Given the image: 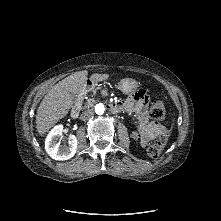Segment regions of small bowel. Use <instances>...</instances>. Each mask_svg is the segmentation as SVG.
Instances as JSON below:
<instances>
[{
  "instance_id": "c3829d8e",
  "label": "small bowel",
  "mask_w": 221,
  "mask_h": 221,
  "mask_svg": "<svg viewBox=\"0 0 221 221\" xmlns=\"http://www.w3.org/2000/svg\"><path fill=\"white\" fill-rule=\"evenodd\" d=\"M127 111L135 112L138 118V130L140 141L143 146L148 145L153 139L157 138L165 128L154 121H151L147 112V98L144 94L135 93L125 102Z\"/></svg>"
}]
</instances>
